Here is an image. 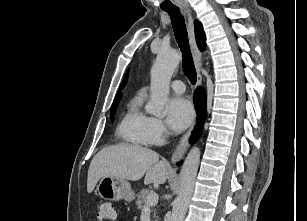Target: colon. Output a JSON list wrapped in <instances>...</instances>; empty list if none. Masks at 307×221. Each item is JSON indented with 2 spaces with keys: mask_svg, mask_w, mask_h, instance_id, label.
Returning a JSON list of instances; mask_svg holds the SVG:
<instances>
[{
  "mask_svg": "<svg viewBox=\"0 0 307 221\" xmlns=\"http://www.w3.org/2000/svg\"><path fill=\"white\" fill-rule=\"evenodd\" d=\"M115 218V211L113 205L107 201L99 203L98 219L100 221H109Z\"/></svg>",
  "mask_w": 307,
  "mask_h": 221,
  "instance_id": "1",
  "label": "colon"
}]
</instances>
